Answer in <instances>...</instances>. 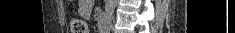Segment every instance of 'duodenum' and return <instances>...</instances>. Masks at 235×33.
I'll use <instances>...</instances> for the list:
<instances>
[{
    "label": "duodenum",
    "mask_w": 235,
    "mask_h": 33,
    "mask_svg": "<svg viewBox=\"0 0 235 33\" xmlns=\"http://www.w3.org/2000/svg\"><path fill=\"white\" fill-rule=\"evenodd\" d=\"M98 27L101 32L104 31L105 23H104V17L102 14H99V16H98Z\"/></svg>",
    "instance_id": "1"
}]
</instances>
